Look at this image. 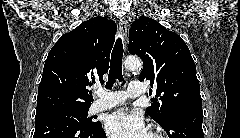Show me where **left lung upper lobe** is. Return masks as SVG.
<instances>
[{"instance_id":"1","label":"left lung upper lobe","mask_w":240,"mask_h":138,"mask_svg":"<svg viewBox=\"0 0 240 138\" xmlns=\"http://www.w3.org/2000/svg\"><path fill=\"white\" fill-rule=\"evenodd\" d=\"M128 49L143 61L139 79L149 80L161 100L157 102L156 98L147 108L159 125L164 126L171 115L182 109L202 107L196 66L180 36L152 18L141 16L129 30Z\"/></svg>"}]
</instances>
